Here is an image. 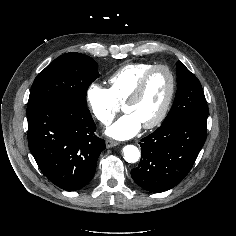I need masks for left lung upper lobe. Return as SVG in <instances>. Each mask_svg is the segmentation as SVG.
Wrapping results in <instances>:
<instances>
[{
  "mask_svg": "<svg viewBox=\"0 0 236 236\" xmlns=\"http://www.w3.org/2000/svg\"><path fill=\"white\" fill-rule=\"evenodd\" d=\"M177 92L173 106L162 124L177 118L207 119L208 106L197 77L183 63L177 62Z\"/></svg>",
  "mask_w": 236,
  "mask_h": 236,
  "instance_id": "1",
  "label": "left lung upper lobe"
}]
</instances>
